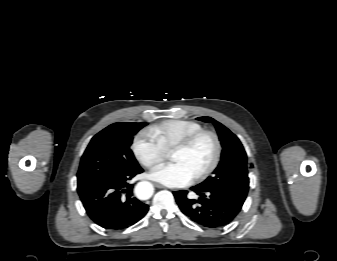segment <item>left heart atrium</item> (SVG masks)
<instances>
[{
    "label": "left heart atrium",
    "instance_id": "1",
    "mask_svg": "<svg viewBox=\"0 0 337 261\" xmlns=\"http://www.w3.org/2000/svg\"><path fill=\"white\" fill-rule=\"evenodd\" d=\"M150 177L168 187H185L194 179V175L180 162L161 164L150 172Z\"/></svg>",
    "mask_w": 337,
    "mask_h": 261
}]
</instances>
